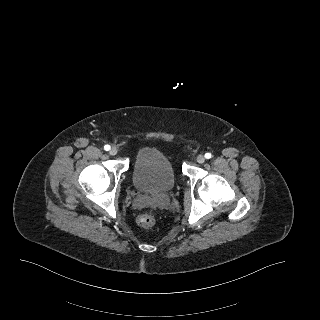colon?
<instances>
[{
    "mask_svg": "<svg viewBox=\"0 0 320 320\" xmlns=\"http://www.w3.org/2000/svg\"><path fill=\"white\" fill-rule=\"evenodd\" d=\"M155 222L156 219L152 214H142L137 218L138 225L144 228L152 227Z\"/></svg>",
    "mask_w": 320,
    "mask_h": 320,
    "instance_id": "colon-1",
    "label": "colon"
}]
</instances>
